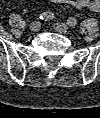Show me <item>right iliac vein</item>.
<instances>
[{
    "mask_svg": "<svg viewBox=\"0 0 100 118\" xmlns=\"http://www.w3.org/2000/svg\"><path fill=\"white\" fill-rule=\"evenodd\" d=\"M41 27V23L39 21H34L30 24V30L32 32H37Z\"/></svg>",
    "mask_w": 100,
    "mask_h": 118,
    "instance_id": "right-iliac-vein-1",
    "label": "right iliac vein"
}]
</instances>
